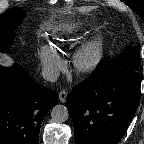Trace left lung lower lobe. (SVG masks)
Instances as JSON below:
<instances>
[{
	"mask_svg": "<svg viewBox=\"0 0 144 144\" xmlns=\"http://www.w3.org/2000/svg\"><path fill=\"white\" fill-rule=\"evenodd\" d=\"M105 62H100L94 74L76 85L66 98L75 144H117L138 108L140 73H106Z\"/></svg>",
	"mask_w": 144,
	"mask_h": 144,
	"instance_id": "1",
	"label": "left lung lower lobe"
}]
</instances>
